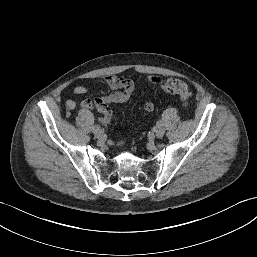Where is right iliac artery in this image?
I'll return each mask as SVG.
<instances>
[{
    "label": "right iliac artery",
    "mask_w": 257,
    "mask_h": 257,
    "mask_svg": "<svg viewBox=\"0 0 257 257\" xmlns=\"http://www.w3.org/2000/svg\"><path fill=\"white\" fill-rule=\"evenodd\" d=\"M100 129V125H94L93 127H92V132L93 133H95L97 130H99Z\"/></svg>",
    "instance_id": "82829eb1"
}]
</instances>
